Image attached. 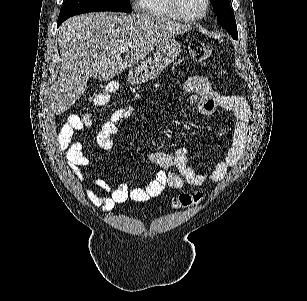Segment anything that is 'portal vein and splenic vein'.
I'll list each match as a JSON object with an SVG mask.
<instances>
[{
  "instance_id": "obj_1",
  "label": "portal vein and splenic vein",
  "mask_w": 307,
  "mask_h": 301,
  "mask_svg": "<svg viewBox=\"0 0 307 301\" xmlns=\"http://www.w3.org/2000/svg\"><path fill=\"white\" fill-rule=\"evenodd\" d=\"M120 52H128L129 50V46H121V48H119Z\"/></svg>"
}]
</instances>
